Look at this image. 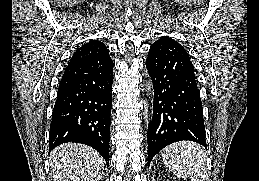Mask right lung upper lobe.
I'll use <instances>...</instances> for the list:
<instances>
[{
    "mask_svg": "<svg viewBox=\"0 0 259 181\" xmlns=\"http://www.w3.org/2000/svg\"><path fill=\"white\" fill-rule=\"evenodd\" d=\"M108 51L109 50L102 42L98 40H91L88 43L82 45L79 49H77V51L70 59L68 65L95 58Z\"/></svg>",
    "mask_w": 259,
    "mask_h": 181,
    "instance_id": "1",
    "label": "right lung upper lobe"
}]
</instances>
